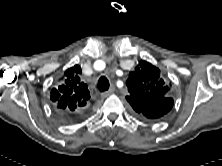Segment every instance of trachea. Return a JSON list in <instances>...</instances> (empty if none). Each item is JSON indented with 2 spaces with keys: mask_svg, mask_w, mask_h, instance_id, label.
<instances>
[{
  "mask_svg": "<svg viewBox=\"0 0 222 166\" xmlns=\"http://www.w3.org/2000/svg\"><path fill=\"white\" fill-rule=\"evenodd\" d=\"M98 89L101 92H104L109 89V81L105 76H101L98 81Z\"/></svg>",
  "mask_w": 222,
  "mask_h": 166,
  "instance_id": "1",
  "label": "trachea"
}]
</instances>
